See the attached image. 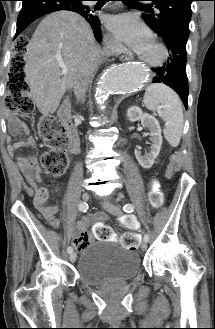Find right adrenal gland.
<instances>
[{"mask_svg": "<svg viewBox=\"0 0 215 329\" xmlns=\"http://www.w3.org/2000/svg\"><path fill=\"white\" fill-rule=\"evenodd\" d=\"M84 100H85V98L83 97V98L81 99V103H83V102H84Z\"/></svg>", "mask_w": 215, "mask_h": 329, "instance_id": "right-adrenal-gland-1", "label": "right adrenal gland"}]
</instances>
